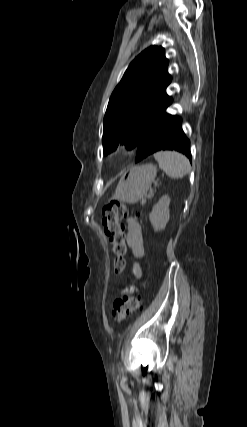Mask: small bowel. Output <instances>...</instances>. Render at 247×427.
I'll return each mask as SVG.
<instances>
[{
	"mask_svg": "<svg viewBox=\"0 0 247 427\" xmlns=\"http://www.w3.org/2000/svg\"><path fill=\"white\" fill-rule=\"evenodd\" d=\"M127 244L130 247L133 255L136 258H143L145 249L143 245L142 229L139 222L135 218L127 220ZM133 272L136 276H141V269L138 264L133 267Z\"/></svg>",
	"mask_w": 247,
	"mask_h": 427,
	"instance_id": "small-bowel-1",
	"label": "small bowel"
}]
</instances>
